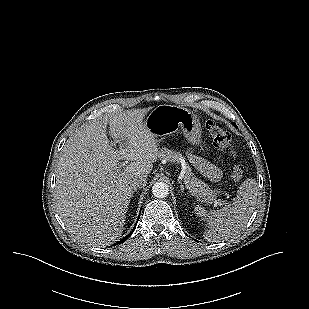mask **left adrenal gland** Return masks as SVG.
<instances>
[{"instance_id":"1","label":"left adrenal gland","mask_w":309,"mask_h":309,"mask_svg":"<svg viewBox=\"0 0 309 309\" xmlns=\"http://www.w3.org/2000/svg\"><path fill=\"white\" fill-rule=\"evenodd\" d=\"M181 190H182V192H184V191H183V188H181ZM184 195H186V194H184Z\"/></svg>"}]
</instances>
